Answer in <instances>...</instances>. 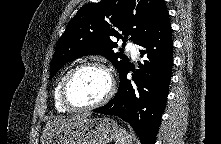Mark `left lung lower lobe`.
<instances>
[{"label":"left lung lower lobe","mask_w":221,"mask_h":144,"mask_svg":"<svg viewBox=\"0 0 221 144\" xmlns=\"http://www.w3.org/2000/svg\"><path fill=\"white\" fill-rule=\"evenodd\" d=\"M141 57L135 70L127 64L120 72L114 98L93 112L120 117L137 133L142 144H155L166 105L173 65V41L168 12L153 33L142 41ZM133 71L132 81L127 73Z\"/></svg>","instance_id":"obj_1"}]
</instances>
